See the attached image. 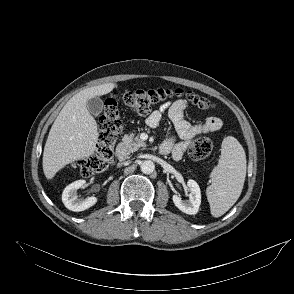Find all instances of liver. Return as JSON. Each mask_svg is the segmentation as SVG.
I'll return each instance as SVG.
<instances>
[{"mask_svg": "<svg viewBox=\"0 0 294 294\" xmlns=\"http://www.w3.org/2000/svg\"><path fill=\"white\" fill-rule=\"evenodd\" d=\"M115 83L87 88L74 95L54 121L43 152V171L48 180L76 160L96 151L97 123L86 107L89 99L110 93Z\"/></svg>", "mask_w": 294, "mask_h": 294, "instance_id": "liver-1", "label": "liver"}]
</instances>
